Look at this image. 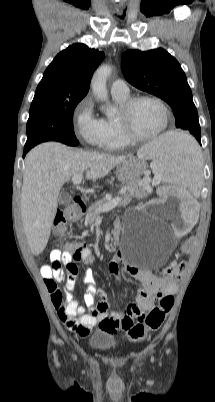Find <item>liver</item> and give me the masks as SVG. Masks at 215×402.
Masks as SVG:
<instances>
[{"label": "liver", "mask_w": 215, "mask_h": 402, "mask_svg": "<svg viewBox=\"0 0 215 402\" xmlns=\"http://www.w3.org/2000/svg\"><path fill=\"white\" fill-rule=\"evenodd\" d=\"M128 156L70 150L57 142L34 147L25 158L21 190L23 230L34 255L45 249L63 184L86 172V179L106 176Z\"/></svg>", "instance_id": "6515ba94"}]
</instances>
